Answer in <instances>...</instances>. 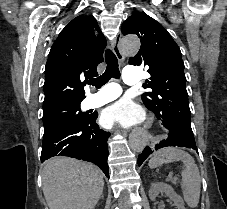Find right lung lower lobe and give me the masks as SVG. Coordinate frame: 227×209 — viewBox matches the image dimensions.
Wrapping results in <instances>:
<instances>
[{
  "mask_svg": "<svg viewBox=\"0 0 227 209\" xmlns=\"http://www.w3.org/2000/svg\"><path fill=\"white\" fill-rule=\"evenodd\" d=\"M96 114L86 115L84 120L63 126L43 136L41 162L53 156H68L92 162L108 177L109 133L96 124Z\"/></svg>",
  "mask_w": 227,
  "mask_h": 209,
  "instance_id": "obj_1",
  "label": "right lung lower lobe"
}]
</instances>
